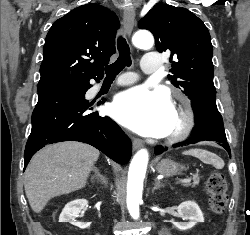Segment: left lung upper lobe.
<instances>
[{"instance_id":"1","label":"left lung upper lobe","mask_w":250,"mask_h":235,"mask_svg":"<svg viewBox=\"0 0 250 235\" xmlns=\"http://www.w3.org/2000/svg\"><path fill=\"white\" fill-rule=\"evenodd\" d=\"M150 30L159 52H170L169 80L192 100L216 93L213 48L207 27L186 8L155 5L138 23Z\"/></svg>"}]
</instances>
